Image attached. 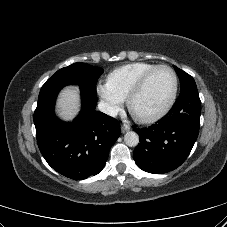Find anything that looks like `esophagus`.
Here are the masks:
<instances>
[{"mask_svg":"<svg viewBox=\"0 0 227 227\" xmlns=\"http://www.w3.org/2000/svg\"><path fill=\"white\" fill-rule=\"evenodd\" d=\"M129 130H130V126H129V125L123 124V125L121 126V132H122V133H126V132L129 131Z\"/></svg>","mask_w":227,"mask_h":227,"instance_id":"34e87169","label":"esophagus"}]
</instances>
